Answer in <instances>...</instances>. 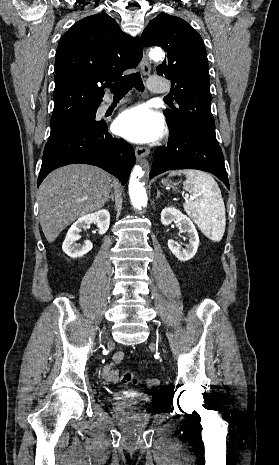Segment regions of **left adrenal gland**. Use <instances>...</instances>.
<instances>
[{"mask_svg":"<svg viewBox=\"0 0 279 465\" xmlns=\"http://www.w3.org/2000/svg\"><path fill=\"white\" fill-rule=\"evenodd\" d=\"M161 195H162V193H161L159 190H157V196H156V199H158V198H159Z\"/></svg>","mask_w":279,"mask_h":465,"instance_id":"a2214340","label":"left adrenal gland"}]
</instances>
